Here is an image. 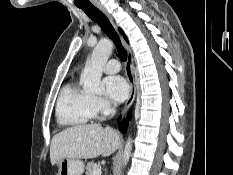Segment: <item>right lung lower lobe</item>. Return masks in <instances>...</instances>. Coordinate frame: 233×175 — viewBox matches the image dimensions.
<instances>
[{"instance_id":"obj_1","label":"right lung lower lobe","mask_w":233,"mask_h":175,"mask_svg":"<svg viewBox=\"0 0 233 175\" xmlns=\"http://www.w3.org/2000/svg\"><path fill=\"white\" fill-rule=\"evenodd\" d=\"M131 116L128 115V118L127 119H123L122 122L119 124V129L125 133L126 132V129L128 127V123H129V120H130Z\"/></svg>"}]
</instances>
